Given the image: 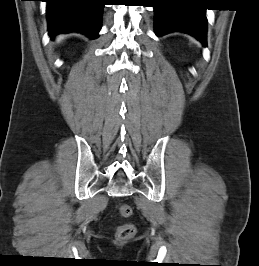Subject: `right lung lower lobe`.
<instances>
[{
  "label": "right lung lower lobe",
  "mask_w": 259,
  "mask_h": 266,
  "mask_svg": "<svg viewBox=\"0 0 259 266\" xmlns=\"http://www.w3.org/2000/svg\"><path fill=\"white\" fill-rule=\"evenodd\" d=\"M48 30L51 37L76 31L91 39L101 29L104 0H46Z\"/></svg>",
  "instance_id": "98d812e1"
}]
</instances>
